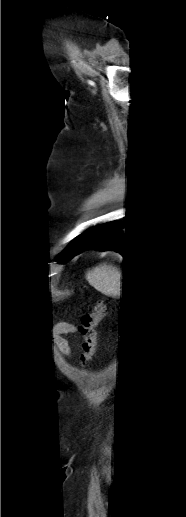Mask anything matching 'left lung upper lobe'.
Returning a JSON list of instances; mask_svg holds the SVG:
<instances>
[{
    "instance_id": "obj_1",
    "label": "left lung upper lobe",
    "mask_w": 186,
    "mask_h": 517,
    "mask_svg": "<svg viewBox=\"0 0 186 517\" xmlns=\"http://www.w3.org/2000/svg\"><path fill=\"white\" fill-rule=\"evenodd\" d=\"M93 228L88 229L84 233L80 234L75 240L67 247V249L59 257V261L66 262L71 259L74 254L89 240L92 235Z\"/></svg>"
}]
</instances>
